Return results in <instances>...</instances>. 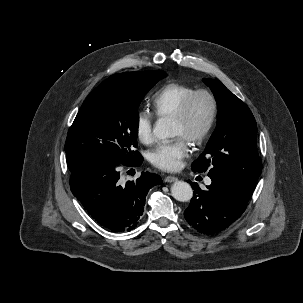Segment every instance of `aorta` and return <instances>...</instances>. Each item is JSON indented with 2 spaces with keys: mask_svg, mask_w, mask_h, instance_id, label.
<instances>
[{
  "mask_svg": "<svg viewBox=\"0 0 303 303\" xmlns=\"http://www.w3.org/2000/svg\"><path fill=\"white\" fill-rule=\"evenodd\" d=\"M154 135L158 139H167L175 136V129L171 121L168 119H159L153 129ZM172 196L180 201H190L193 196V190L187 182L176 181L171 187Z\"/></svg>",
  "mask_w": 303,
  "mask_h": 303,
  "instance_id": "obj_1",
  "label": "aorta"
}]
</instances>
